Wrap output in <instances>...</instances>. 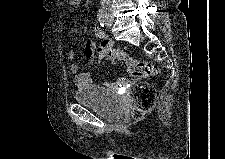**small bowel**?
Returning <instances> with one entry per match:
<instances>
[{
  "mask_svg": "<svg viewBox=\"0 0 225 159\" xmlns=\"http://www.w3.org/2000/svg\"><path fill=\"white\" fill-rule=\"evenodd\" d=\"M97 39L101 41L99 46L96 43ZM101 46L113 48L114 43L108 38L106 32L102 28L94 27L92 30V38L86 43L84 49V56L91 64H94L97 59L102 58L99 54V48ZM75 57L76 52L74 50L68 51L67 59L71 61L69 70L73 75V82L76 87L82 88L92 82L93 75L90 72H80L78 63L74 61ZM119 82L121 84L127 83L124 79L119 80Z\"/></svg>",
  "mask_w": 225,
  "mask_h": 159,
  "instance_id": "c3829d8e",
  "label": "small bowel"
}]
</instances>
